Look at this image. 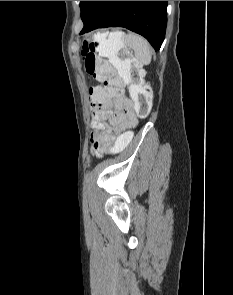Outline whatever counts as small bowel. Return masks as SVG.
<instances>
[{"mask_svg":"<svg viewBox=\"0 0 233 295\" xmlns=\"http://www.w3.org/2000/svg\"><path fill=\"white\" fill-rule=\"evenodd\" d=\"M90 106V126L93 129L91 152L95 156H100L104 150L111 148L121 131L133 128L137 124V117L132 100L123 90L117 96H91Z\"/></svg>","mask_w":233,"mask_h":295,"instance_id":"1","label":"small bowel"}]
</instances>
